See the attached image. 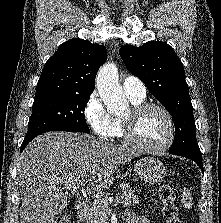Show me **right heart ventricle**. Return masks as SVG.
<instances>
[{
    "instance_id": "1",
    "label": "right heart ventricle",
    "mask_w": 221,
    "mask_h": 223,
    "mask_svg": "<svg viewBox=\"0 0 221 223\" xmlns=\"http://www.w3.org/2000/svg\"><path fill=\"white\" fill-rule=\"evenodd\" d=\"M130 100L132 101L133 104H139V103H142L144 101V98H142V99H132V98H130ZM114 136L119 138V139L122 138V124H121V121L119 119H115V134H114Z\"/></svg>"
}]
</instances>
